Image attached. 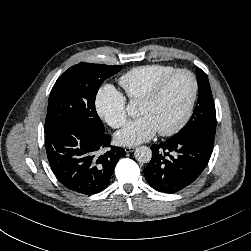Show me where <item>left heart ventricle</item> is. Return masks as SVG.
Instances as JSON below:
<instances>
[{
    "instance_id": "1",
    "label": "left heart ventricle",
    "mask_w": 251,
    "mask_h": 251,
    "mask_svg": "<svg viewBox=\"0 0 251 251\" xmlns=\"http://www.w3.org/2000/svg\"><path fill=\"white\" fill-rule=\"evenodd\" d=\"M192 94V81L185 75L176 76L159 98L151 104L139 103L137 114L147 116L157 131L176 125L184 115Z\"/></svg>"
}]
</instances>
